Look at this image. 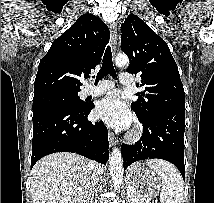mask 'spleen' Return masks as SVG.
Returning <instances> with one entry per match:
<instances>
[{"instance_id":"1","label":"spleen","mask_w":214,"mask_h":203,"mask_svg":"<svg viewBox=\"0 0 214 203\" xmlns=\"http://www.w3.org/2000/svg\"><path fill=\"white\" fill-rule=\"evenodd\" d=\"M146 164L162 178L161 203H184L183 180L178 170L163 160L151 159Z\"/></svg>"}]
</instances>
